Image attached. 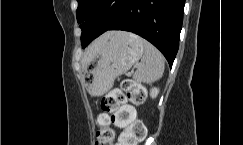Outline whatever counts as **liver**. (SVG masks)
I'll use <instances>...</instances> for the list:
<instances>
[{"instance_id": "1", "label": "liver", "mask_w": 243, "mask_h": 145, "mask_svg": "<svg viewBox=\"0 0 243 145\" xmlns=\"http://www.w3.org/2000/svg\"><path fill=\"white\" fill-rule=\"evenodd\" d=\"M111 32H108L106 34H104L103 36H101L99 39H97L96 41H94L89 48L87 49V51L85 52L84 58H83V62H87L91 56L93 55V53L95 51L98 50V48L101 46V44L109 37Z\"/></svg>"}]
</instances>
